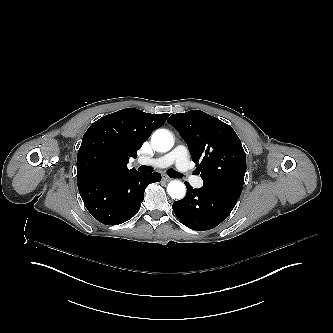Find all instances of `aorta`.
<instances>
[{
  "label": "aorta",
  "mask_w": 333,
  "mask_h": 333,
  "mask_svg": "<svg viewBox=\"0 0 333 333\" xmlns=\"http://www.w3.org/2000/svg\"><path fill=\"white\" fill-rule=\"evenodd\" d=\"M152 146L159 152H167L173 146V137L165 129H158L151 138ZM167 192L173 198H183L185 195V185L177 180H173L167 185Z\"/></svg>",
  "instance_id": "762f6f07"
}]
</instances>
